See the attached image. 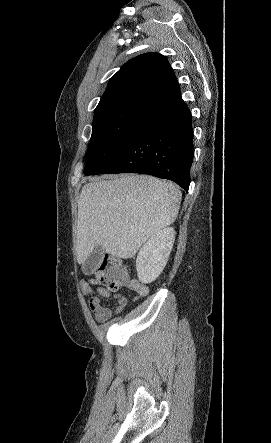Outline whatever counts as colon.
Here are the masks:
<instances>
[{
  "label": "colon",
  "instance_id": "obj_1",
  "mask_svg": "<svg viewBox=\"0 0 271 443\" xmlns=\"http://www.w3.org/2000/svg\"><path fill=\"white\" fill-rule=\"evenodd\" d=\"M94 282L103 285L109 291H118L122 288L132 287L128 268L120 259L104 257L95 268Z\"/></svg>",
  "mask_w": 271,
  "mask_h": 443
}]
</instances>
